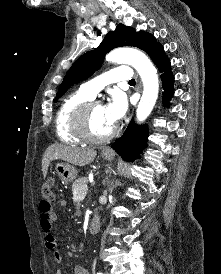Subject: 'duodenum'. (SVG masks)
<instances>
[{
  "label": "duodenum",
  "mask_w": 221,
  "mask_h": 274,
  "mask_svg": "<svg viewBox=\"0 0 221 274\" xmlns=\"http://www.w3.org/2000/svg\"><path fill=\"white\" fill-rule=\"evenodd\" d=\"M100 226H101L100 216H99V214L95 213L90 219L89 226H88V232L90 234H95L99 231Z\"/></svg>",
  "instance_id": "duodenum-1"
}]
</instances>
